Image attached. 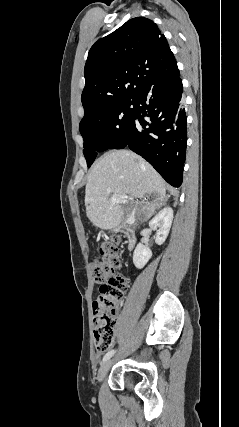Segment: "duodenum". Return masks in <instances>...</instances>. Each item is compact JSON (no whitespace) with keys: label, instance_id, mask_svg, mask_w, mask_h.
Wrapping results in <instances>:
<instances>
[{"label":"duodenum","instance_id":"obj_1","mask_svg":"<svg viewBox=\"0 0 239 427\" xmlns=\"http://www.w3.org/2000/svg\"><path fill=\"white\" fill-rule=\"evenodd\" d=\"M118 231L124 235L127 248L132 249L135 244V230L129 226H121L118 228Z\"/></svg>","mask_w":239,"mask_h":427}]
</instances>
